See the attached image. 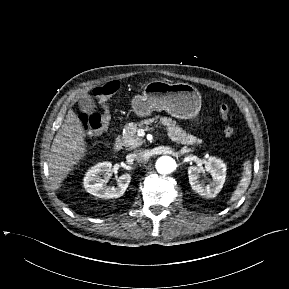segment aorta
Instances as JSON below:
<instances>
[{"label": "aorta", "instance_id": "1", "mask_svg": "<svg viewBox=\"0 0 289 289\" xmlns=\"http://www.w3.org/2000/svg\"><path fill=\"white\" fill-rule=\"evenodd\" d=\"M156 170L160 174H170L176 168L175 160L170 156H161L156 161Z\"/></svg>", "mask_w": 289, "mask_h": 289}]
</instances>
